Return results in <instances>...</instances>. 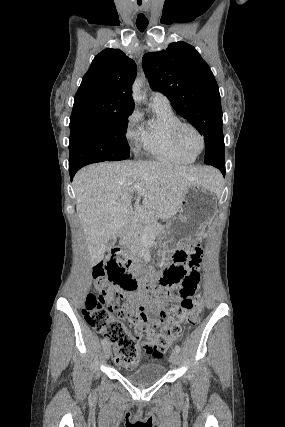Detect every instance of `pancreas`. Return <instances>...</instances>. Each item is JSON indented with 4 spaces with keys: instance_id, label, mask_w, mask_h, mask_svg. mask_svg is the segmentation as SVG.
Masks as SVG:
<instances>
[{
    "instance_id": "pancreas-1",
    "label": "pancreas",
    "mask_w": 285,
    "mask_h": 427,
    "mask_svg": "<svg viewBox=\"0 0 285 427\" xmlns=\"http://www.w3.org/2000/svg\"><path fill=\"white\" fill-rule=\"evenodd\" d=\"M159 225L155 223L154 213L148 212L145 216L136 215V220L127 228L123 234L121 243L124 246H135L140 244L146 235L155 234Z\"/></svg>"
}]
</instances>
